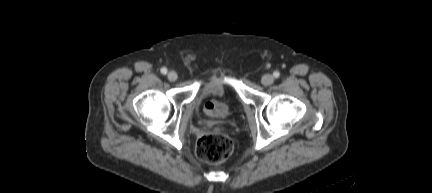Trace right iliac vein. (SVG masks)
<instances>
[{"instance_id": "1", "label": "right iliac vein", "mask_w": 432, "mask_h": 193, "mask_svg": "<svg viewBox=\"0 0 432 193\" xmlns=\"http://www.w3.org/2000/svg\"><path fill=\"white\" fill-rule=\"evenodd\" d=\"M167 78H168V80L169 81H176L177 80V78H178V75H177V73L176 72H174V71H170L168 74H167Z\"/></svg>"}]
</instances>
